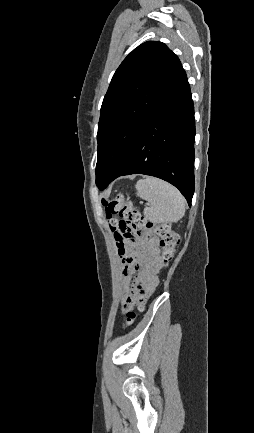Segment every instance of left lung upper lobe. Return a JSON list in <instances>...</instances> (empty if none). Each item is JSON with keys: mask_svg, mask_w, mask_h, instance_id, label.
Instances as JSON below:
<instances>
[{"mask_svg": "<svg viewBox=\"0 0 254 433\" xmlns=\"http://www.w3.org/2000/svg\"><path fill=\"white\" fill-rule=\"evenodd\" d=\"M182 70L163 43L148 41L134 49L112 77L98 124L96 184L122 163L139 130Z\"/></svg>", "mask_w": 254, "mask_h": 433, "instance_id": "1", "label": "left lung upper lobe"}]
</instances>
